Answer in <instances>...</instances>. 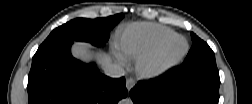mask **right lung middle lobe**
I'll list each match as a JSON object with an SVG mask.
<instances>
[{"instance_id":"obj_1","label":"right lung middle lobe","mask_w":252,"mask_h":104,"mask_svg":"<svg viewBox=\"0 0 252 104\" xmlns=\"http://www.w3.org/2000/svg\"><path fill=\"white\" fill-rule=\"evenodd\" d=\"M117 14L106 18H77L54 29L37 51L61 44H72L74 41L90 42L94 46H102L109 39L111 29L123 18Z\"/></svg>"}]
</instances>
